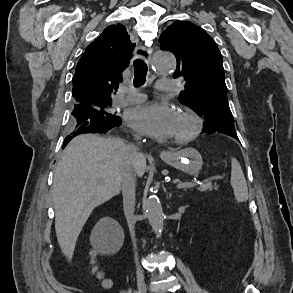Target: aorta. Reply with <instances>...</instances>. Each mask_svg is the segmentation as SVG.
<instances>
[{"label": "aorta", "mask_w": 293, "mask_h": 293, "mask_svg": "<svg viewBox=\"0 0 293 293\" xmlns=\"http://www.w3.org/2000/svg\"><path fill=\"white\" fill-rule=\"evenodd\" d=\"M153 68L156 73H170L176 65L175 57L167 51L158 50L153 54ZM145 209L151 227L156 233L163 230L164 214L159 198L151 193L145 200Z\"/></svg>", "instance_id": "762f6f07"}]
</instances>
